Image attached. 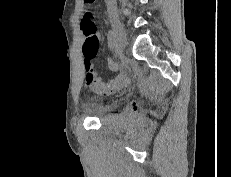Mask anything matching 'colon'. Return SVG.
Wrapping results in <instances>:
<instances>
[{
  "mask_svg": "<svg viewBox=\"0 0 231 177\" xmlns=\"http://www.w3.org/2000/svg\"><path fill=\"white\" fill-rule=\"evenodd\" d=\"M86 3H93L95 0H84ZM81 29L85 36V41L83 45V55L87 60H92L98 52L99 49V39L96 35V27L92 20L90 19V13L86 12L82 21Z\"/></svg>",
  "mask_w": 231,
  "mask_h": 177,
  "instance_id": "colon-1",
  "label": "colon"
}]
</instances>
